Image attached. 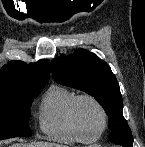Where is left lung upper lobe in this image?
I'll list each match as a JSON object with an SVG mask.
<instances>
[{"mask_svg":"<svg viewBox=\"0 0 145 147\" xmlns=\"http://www.w3.org/2000/svg\"><path fill=\"white\" fill-rule=\"evenodd\" d=\"M51 67L56 82L88 93L104 108L108 115L111 142L132 147L131 130L122 113L119 84L105 61L80 49L69 56L62 55L52 60Z\"/></svg>","mask_w":145,"mask_h":147,"instance_id":"1","label":"left lung upper lobe"}]
</instances>
